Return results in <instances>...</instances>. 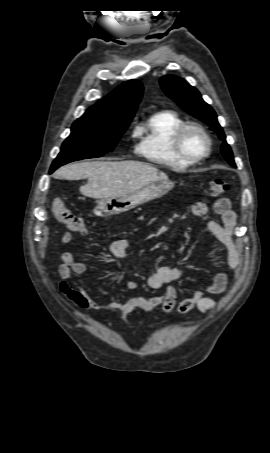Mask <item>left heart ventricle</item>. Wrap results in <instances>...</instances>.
<instances>
[{"label":"left heart ventricle","mask_w":270,"mask_h":453,"mask_svg":"<svg viewBox=\"0 0 270 453\" xmlns=\"http://www.w3.org/2000/svg\"><path fill=\"white\" fill-rule=\"evenodd\" d=\"M207 146L206 139L197 131H188L183 138V147L185 151L192 155L198 156L205 152Z\"/></svg>","instance_id":"obj_1"}]
</instances>
